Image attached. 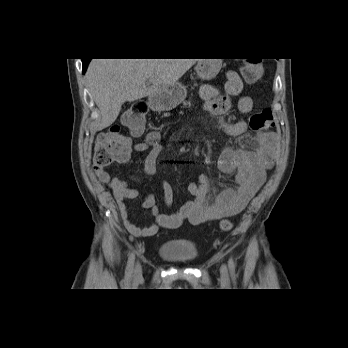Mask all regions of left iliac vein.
Masks as SVG:
<instances>
[{
    "label": "left iliac vein",
    "mask_w": 348,
    "mask_h": 348,
    "mask_svg": "<svg viewBox=\"0 0 348 348\" xmlns=\"http://www.w3.org/2000/svg\"><path fill=\"white\" fill-rule=\"evenodd\" d=\"M221 277L226 280L228 278V273H227V269L225 266H222L221 268Z\"/></svg>",
    "instance_id": "left-iliac-vein-1"
}]
</instances>
